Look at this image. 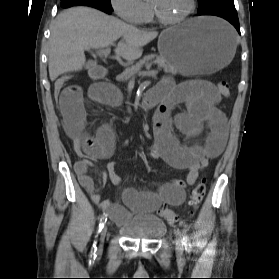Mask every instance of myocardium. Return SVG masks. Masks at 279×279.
<instances>
[{
    "mask_svg": "<svg viewBox=\"0 0 279 279\" xmlns=\"http://www.w3.org/2000/svg\"><path fill=\"white\" fill-rule=\"evenodd\" d=\"M149 7L151 9V13L153 15V17L162 24L165 25H176L179 24L183 21H185L186 19H188L194 12L195 8H196V0H190V6L188 7V9L179 17L176 18H166L164 17L159 10L157 9V7L155 5H153L150 1H149Z\"/></svg>",
    "mask_w": 279,
    "mask_h": 279,
    "instance_id": "myocardium-1",
    "label": "myocardium"
}]
</instances>
